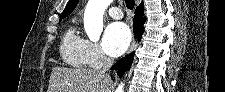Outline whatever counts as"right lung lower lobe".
Listing matches in <instances>:
<instances>
[{"label": "right lung lower lobe", "mask_w": 225, "mask_h": 92, "mask_svg": "<svg viewBox=\"0 0 225 92\" xmlns=\"http://www.w3.org/2000/svg\"><path fill=\"white\" fill-rule=\"evenodd\" d=\"M144 9L137 8L135 11L134 21H133V29L135 37L138 38V40L141 39V36L144 32V22L146 21V18L144 17L143 13ZM134 53L129 54L128 56H125L124 58L117 61L111 69L118 70L119 77H122L123 74L130 69L132 61H133Z\"/></svg>", "instance_id": "obj_1"}]
</instances>
